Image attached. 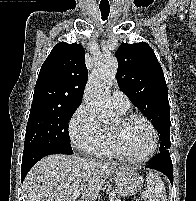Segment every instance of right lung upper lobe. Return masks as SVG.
I'll return each instance as SVG.
<instances>
[{"label": "right lung upper lobe", "instance_id": "1", "mask_svg": "<svg viewBox=\"0 0 196 201\" xmlns=\"http://www.w3.org/2000/svg\"><path fill=\"white\" fill-rule=\"evenodd\" d=\"M87 79L88 70L82 46L60 42L41 67L32 104L79 106Z\"/></svg>", "mask_w": 196, "mask_h": 201}]
</instances>
